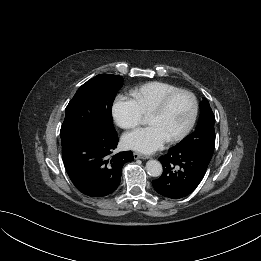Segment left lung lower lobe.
<instances>
[{
  "mask_svg": "<svg viewBox=\"0 0 261 261\" xmlns=\"http://www.w3.org/2000/svg\"><path fill=\"white\" fill-rule=\"evenodd\" d=\"M210 160L199 152L175 146L160 158L163 173L152 181V185L163 197L183 198L191 194L202 181Z\"/></svg>",
  "mask_w": 261,
  "mask_h": 261,
  "instance_id": "1",
  "label": "left lung lower lobe"
}]
</instances>
